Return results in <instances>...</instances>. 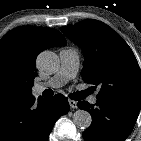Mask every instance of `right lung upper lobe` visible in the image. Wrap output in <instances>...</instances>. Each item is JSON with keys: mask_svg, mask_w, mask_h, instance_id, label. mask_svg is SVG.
Here are the masks:
<instances>
[{"mask_svg": "<svg viewBox=\"0 0 141 141\" xmlns=\"http://www.w3.org/2000/svg\"><path fill=\"white\" fill-rule=\"evenodd\" d=\"M65 44L64 36L52 28L21 26L3 36L0 40V102L6 100L2 88L12 80L20 81L25 88L33 86L37 75L35 61L40 52Z\"/></svg>", "mask_w": 141, "mask_h": 141, "instance_id": "cb5924a9", "label": "right lung upper lobe"}]
</instances>
